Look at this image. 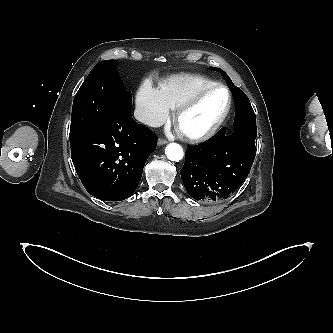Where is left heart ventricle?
<instances>
[{
	"instance_id": "b2bd125f",
	"label": "left heart ventricle",
	"mask_w": 333,
	"mask_h": 333,
	"mask_svg": "<svg viewBox=\"0 0 333 333\" xmlns=\"http://www.w3.org/2000/svg\"><path fill=\"white\" fill-rule=\"evenodd\" d=\"M227 100L224 89L211 91L182 117L179 124L180 130L188 133L206 130L220 117L227 105Z\"/></svg>"
}]
</instances>
